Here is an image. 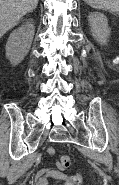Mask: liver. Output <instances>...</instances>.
<instances>
[{
  "label": "liver",
  "mask_w": 119,
  "mask_h": 185,
  "mask_svg": "<svg viewBox=\"0 0 119 185\" xmlns=\"http://www.w3.org/2000/svg\"><path fill=\"white\" fill-rule=\"evenodd\" d=\"M39 0H0V38L37 7Z\"/></svg>",
  "instance_id": "1"
}]
</instances>
